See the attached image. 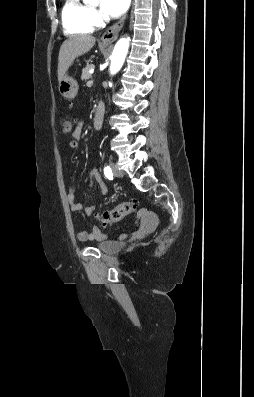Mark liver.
<instances>
[{
	"mask_svg": "<svg viewBox=\"0 0 254 397\" xmlns=\"http://www.w3.org/2000/svg\"><path fill=\"white\" fill-rule=\"evenodd\" d=\"M95 41V37L85 34L72 36L62 43L58 57V81L63 78L75 58L92 49Z\"/></svg>",
	"mask_w": 254,
	"mask_h": 397,
	"instance_id": "1",
	"label": "liver"
}]
</instances>
